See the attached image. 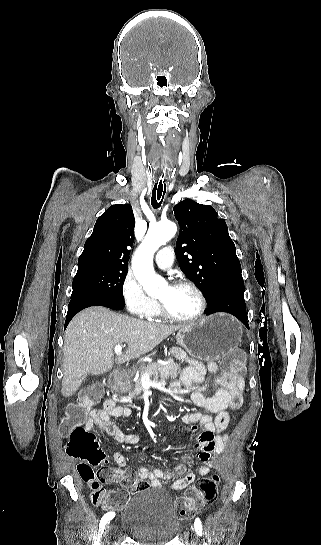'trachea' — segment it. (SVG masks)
<instances>
[{"mask_svg":"<svg viewBox=\"0 0 321 545\" xmlns=\"http://www.w3.org/2000/svg\"><path fill=\"white\" fill-rule=\"evenodd\" d=\"M167 163H168L167 153L161 152L159 162H158L159 174L153 175L152 183H151V186L153 188L151 204L153 208H158L160 206L166 192L167 178L164 173H165V168L167 167Z\"/></svg>","mask_w":321,"mask_h":545,"instance_id":"1","label":"trachea"}]
</instances>
